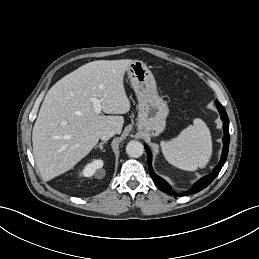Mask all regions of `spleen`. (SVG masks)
Here are the masks:
<instances>
[{
	"mask_svg": "<svg viewBox=\"0 0 259 259\" xmlns=\"http://www.w3.org/2000/svg\"><path fill=\"white\" fill-rule=\"evenodd\" d=\"M161 148L165 159L179 169L204 168L212 155L210 130L203 120L196 118L193 125L183 129L176 138L162 141Z\"/></svg>",
	"mask_w": 259,
	"mask_h": 259,
	"instance_id": "3e777b00",
	"label": "spleen"
}]
</instances>
